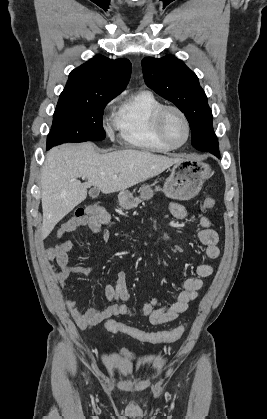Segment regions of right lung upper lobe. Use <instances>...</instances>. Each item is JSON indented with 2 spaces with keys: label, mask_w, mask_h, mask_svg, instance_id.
Instances as JSON below:
<instances>
[{
  "label": "right lung upper lobe",
  "mask_w": 267,
  "mask_h": 419,
  "mask_svg": "<svg viewBox=\"0 0 267 419\" xmlns=\"http://www.w3.org/2000/svg\"><path fill=\"white\" fill-rule=\"evenodd\" d=\"M131 63L127 59L112 60L96 55L69 74L60 97L89 98L117 96L129 82Z\"/></svg>",
  "instance_id": "cb5924a9"
}]
</instances>
